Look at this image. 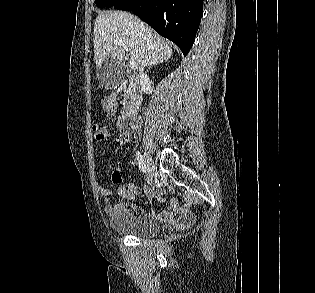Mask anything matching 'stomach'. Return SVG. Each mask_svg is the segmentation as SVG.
<instances>
[{
	"label": "stomach",
	"instance_id": "0dacf381",
	"mask_svg": "<svg viewBox=\"0 0 315 293\" xmlns=\"http://www.w3.org/2000/svg\"><path fill=\"white\" fill-rule=\"evenodd\" d=\"M101 106L106 111L117 110L118 103L121 102L120 96H113V93H108V96L100 97Z\"/></svg>",
	"mask_w": 315,
	"mask_h": 293
}]
</instances>
